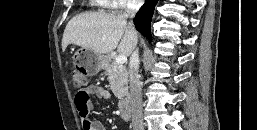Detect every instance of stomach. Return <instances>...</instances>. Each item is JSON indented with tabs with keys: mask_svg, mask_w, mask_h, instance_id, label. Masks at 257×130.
Listing matches in <instances>:
<instances>
[{
	"mask_svg": "<svg viewBox=\"0 0 257 130\" xmlns=\"http://www.w3.org/2000/svg\"><path fill=\"white\" fill-rule=\"evenodd\" d=\"M76 64L80 65L84 74L88 76L96 75L106 65L107 58L101 54L86 48H80L74 55Z\"/></svg>",
	"mask_w": 257,
	"mask_h": 130,
	"instance_id": "obj_1",
	"label": "stomach"
}]
</instances>
